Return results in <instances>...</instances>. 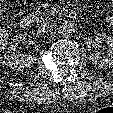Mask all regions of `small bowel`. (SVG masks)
<instances>
[{
    "instance_id": "c3829d8e",
    "label": "small bowel",
    "mask_w": 113,
    "mask_h": 113,
    "mask_svg": "<svg viewBox=\"0 0 113 113\" xmlns=\"http://www.w3.org/2000/svg\"><path fill=\"white\" fill-rule=\"evenodd\" d=\"M113 7V0H109ZM107 23L112 27L113 30V14L107 17Z\"/></svg>"
}]
</instances>
